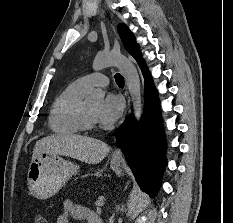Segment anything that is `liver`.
Wrapping results in <instances>:
<instances>
[{"label":"liver","instance_id":"6515ba94","mask_svg":"<svg viewBox=\"0 0 233 223\" xmlns=\"http://www.w3.org/2000/svg\"><path fill=\"white\" fill-rule=\"evenodd\" d=\"M109 151V145L101 139L76 135V133H67V135L55 133V135H48L36 141L32 159L39 153H57V155H69V157L94 165L102 161Z\"/></svg>","mask_w":233,"mask_h":223}]
</instances>
